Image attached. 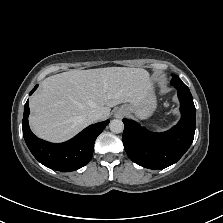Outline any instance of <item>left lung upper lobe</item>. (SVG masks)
Segmentation results:
<instances>
[{"label": "left lung upper lobe", "instance_id": "obj_1", "mask_svg": "<svg viewBox=\"0 0 223 223\" xmlns=\"http://www.w3.org/2000/svg\"><path fill=\"white\" fill-rule=\"evenodd\" d=\"M172 77L173 78L171 80V84L173 85L184 84L178 76L173 74Z\"/></svg>", "mask_w": 223, "mask_h": 223}]
</instances>
